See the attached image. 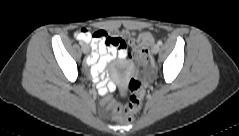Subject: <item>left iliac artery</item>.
<instances>
[{
    "label": "left iliac artery",
    "mask_w": 239,
    "mask_h": 136,
    "mask_svg": "<svg viewBox=\"0 0 239 136\" xmlns=\"http://www.w3.org/2000/svg\"><path fill=\"white\" fill-rule=\"evenodd\" d=\"M158 45H162V41L161 40L158 41Z\"/></svg>",
    "instance_id": "1"
}]
</instances>
